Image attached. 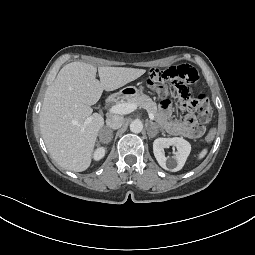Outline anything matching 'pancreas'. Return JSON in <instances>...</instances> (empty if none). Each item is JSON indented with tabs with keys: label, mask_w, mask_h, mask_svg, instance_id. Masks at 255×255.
Here are the masks:
<instances>
[{
	"label": "pancreas",
	"mask_w": 255,
	"mask_h": 255,
	"mask_svg": "<svg viewBox=\"0 0 255 255\" xmlns=\"http://www.w3.org/2000/svg\"><path fill=\"white\" fill-rule=\"evenodd\" d=\"M128 103H135L137 106L146 109L148 112L153 113L158 118L157 104L145 94H138L134 97L127 98Z\"/></svg>",
	"instance_id": "cf45deb5"
}]
</instances>
